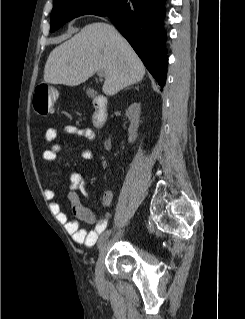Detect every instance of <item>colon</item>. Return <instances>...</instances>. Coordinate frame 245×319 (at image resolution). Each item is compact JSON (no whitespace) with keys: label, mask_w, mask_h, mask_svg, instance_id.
Returning a JSON list of instances; mask_svg holds the SVG:
<instances>
[{"label":"colon","mask_w":245,"mask_h":319,"mask_svg":"<svg viewBox=\"0 0 245 319\" xmlns=\"http://www.w3.org/2000/svg\"><path fill=\"white\" fill-rule=\"evenodd\" d=\"M56 89L49 84L41 83L36 86L33 95V107L35 112L40 116L49 114L57 99Z\"/></svg>","instance_id":"colon-1"}]
</instances>
